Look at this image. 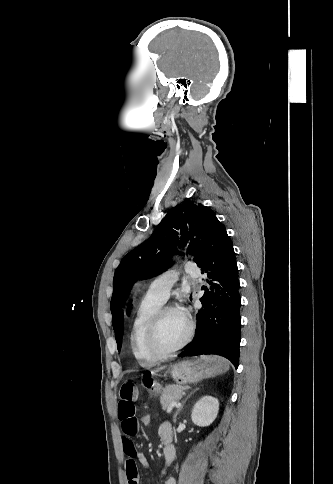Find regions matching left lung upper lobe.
Instances as JSON below:
<instances>
[{"instance_id": "left-lung-upper-lobe-1", "label": "left lung upper lobe", "mask_w": 333, "mask_h": 484, "mask_svg": "<svg viewBox=\"0 0 333 484\" xmlns=\"http://www.w3.org/2000/svg\"><path fill=\"white\" fill-rule=\"evenodd\" d=\"M214 212L202 204L189 200L172 208L153 234L141 245L130 251L117 267L113 279L111 311L118 350L123 335L122 307L133 283L151 278L171 266V244L188 246L196 261L200 255Z\"/></svg>"}]
</instances>
